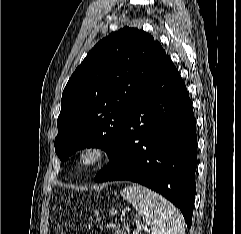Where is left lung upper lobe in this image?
<instances>
[{
	"label": "left lung upper lobe",
	"instance_id": "5c2ea615",
	"mask_svg": "<svg viewBox=\"0 0 241 234\" xmlns=\"http://www.w3.org/2000/svg\"><path fill=\"white\" fill-rule=\"evenodd\" d=\"M164 56L161 44L136 28L124 27L99 41L63 91L54 142L58 157L99 147L110 158L131 104Z\"/></svg>",
	"mask_w": 241,
	"mask_h": 234
}]
</instances>
